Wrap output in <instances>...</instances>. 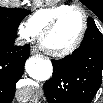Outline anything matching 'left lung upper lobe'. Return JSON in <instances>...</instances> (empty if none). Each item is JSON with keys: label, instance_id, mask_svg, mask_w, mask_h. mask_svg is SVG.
<instances>
[{"label": "left lung upper lobe", "instance_id": "left-lung-upper-lobe-1", "mask_svg": "<svg viewBox=\"0 0 103 103\" xmlns=\"http://www.w3.org/2000/svg\"><path fill=\"white\" fill-rule=\"evenodd\" d=\"M92 25H95V22L92 18H89L88 19V26H92Z\"/></svg>", "mask_w": 103, "mask_h": 103}]
</instances>
